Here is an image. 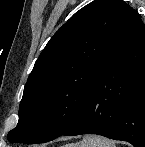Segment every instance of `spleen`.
Returning a JSON list of instances; mask_svg holds the SVG:
<instances>
[{
    "label": "spleen",
    "instance_id": "spleen-1",
    "mask_svg": "<svg viewBox=\"0 0 145 147\" xmlns=\"http://www.w3.org/2000/svg\"><path fill=\"white\" fill-rule=\"evenodd\" d=\"M70 147H116L115 142L96 135H88L81 142L69 145Z\"/></svg>",
    "mask_w": 145,
    "mask_h": 147
}]
</instances>
